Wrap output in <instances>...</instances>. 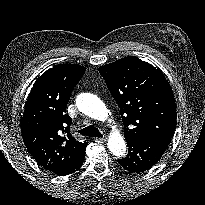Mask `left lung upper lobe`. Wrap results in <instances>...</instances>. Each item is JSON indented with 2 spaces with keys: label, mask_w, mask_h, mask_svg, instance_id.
Listing matches in <instances>:
<instances>
[{
  "label": "left lung upper lobe",
  "mask_w": 205,
  "mask_h": 205,
  "mask_svg": "<svg viewBox=\"0 0 205 205\" xmlns=\"http://www.w3.org/2000/svg\"><path fill=\"white\" fill-rule=\"evenodd\" d=\"M111 95L120 106L127 139L172 137L176 124L175 99L161 71L129 56L99 67Z\"/></svg>",
  "instance_id": "1"
}]
</instances>
